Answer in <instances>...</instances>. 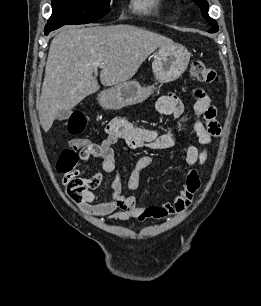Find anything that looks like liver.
Instances as JSON below:
<instances>
[{
	"mask_svg": "<svg viewBox=\"0 0 261 306\" xmlns=\"http://www.w3.org/2000/svg\"><path fill=\"white\" fill-rule=\"evenodd\" d=\"M173 43L160 34L132 26H66L53 38L46 62L45 77L37 103L40 124L45 132L54 120L97 92L93 73L101 67L104 86L125 83L157 48Z\"/></svg>",
	"mask_w": 261,
	"mask_h": 306,
	"instance_id": "1",
	"label": "liver"
}]
</instances>
